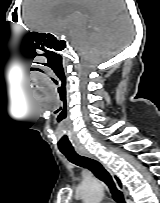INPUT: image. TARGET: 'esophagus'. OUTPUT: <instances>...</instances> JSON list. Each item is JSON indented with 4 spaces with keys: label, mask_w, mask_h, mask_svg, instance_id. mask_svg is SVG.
I'll return each instance as SVG.
<instances>
[{
    "label": "esophagus",
    "mask_w": 160,
    "mask_h": 203,
    "mask_svg": "<svg viewBox=\"0 0 160 203\" xmlns=\"http://www.w3.org/2000/svg\"><path fill=\"white\" fill-rule=\"evenodd\" d=\"M76 151L80 155L87 156V157H90V158H95L93 155H91L88 151H86L83 148H77ZM112 176L114 178V181H115L116 185L120 188V183H119L118 179L116 178V176L114 174H112ZM121 190L123 192L125 200L128 201V192H127V190L125 189L124 186H121Z\"/></svg>",
    "instance_id": "34e87169"
}]
</instances>
